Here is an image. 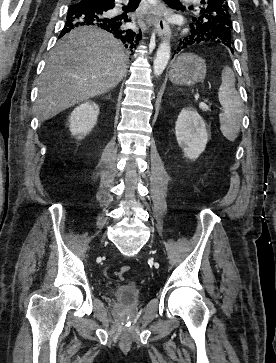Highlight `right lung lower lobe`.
<instances>
[{
    "mask_svg": "<svg viewBox=\"0 0 276 363\" xmlns=\"http://www.w3.org/2000/svg\"><path fill=\"white\" fill-rule=\"evenodd\" d=\"M113 8L114 2L76 0L68 9L66 25L59 38L74 27L94 25L112 33L132 52L141 39V32L137 33L126 28L119 17L110 18L107 12Z\"/></svg>",
    "mask_w": 276,
    "mask_h": 363,
    "instance_id": "obj_1",
    "label": "right lung lower lobe"
}]
</instances>
